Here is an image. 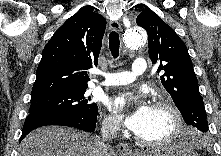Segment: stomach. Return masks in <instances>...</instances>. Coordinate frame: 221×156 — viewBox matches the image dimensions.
Returning <instances> with one entry per match:
<instances>
[{"label":"stomach","mask_w":221,"mask_h":156,"mask_svg":"<svg viewBox=\"0 0 221 156\" xmlns=\"http://www.w3.org/2000/svg\"><path fill=\"white\" fill-rule=\"evenodd\" d=\"M147 156H198V154L183 144L169 143L150 151Z\"/></svg>","instance_id":"obj_1"}]
</instances>
